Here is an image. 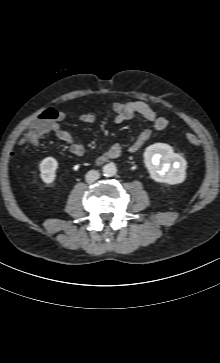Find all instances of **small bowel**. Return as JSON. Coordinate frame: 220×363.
I'll list each match as a JSON object with an SVG mask.
<instances>
[{"label":"small bowel","mask_w":220,"mask_h":363,"mask_svg":"<svg viewBox=\"0 0 220 363\" xmlns=\"http://www.w3.org/2000/svg\"><path fill=\"white\" fill-rule=\"evenodd\" d=\"M112 110L115 114V121L118 123L130 120L135 116H140L144 120L150 122L155 131H162L168 126V120L165 117L159 116L149 105L140 101L118 102L112 106ZM65 117V112H59L58 121L65 119ZM80 120L83 123L91 124L95 122V115L93 113L86 112L80 115ZM58 121L54 122L51 128L56 138L67 144L72 154L82 156L84 154L83 145L75 142L72 135L68 131L64 130ZM151 135V129L142 130L134 142L129 146V151L131 153L139 151L147 143ZM122 151L123 148L121 145L112 144L103 153L101 160L115 159L121 155Z\"/></svg>","instance_id":"1"}]
</instances>
